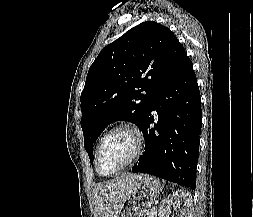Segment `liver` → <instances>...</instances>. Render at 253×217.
Instances as JSON below:
<instances>
[{
    "label": "liver",
    "instance_id": "1",
    "mask_svg": "<svg viewBox=\"0 0 253 217\" xmlns=\"http://www.w3.org/2000/svg\"><path fill=\"white\" fill-rule=\"evenodd\" d=\"M141 177L142 174H123L97 185L93 190L94 217H117L119 208L133 190V184Z\"/></svg>",
    "mask_w": 253,
    "mask_h": 217
}]
</instances>
